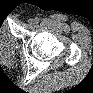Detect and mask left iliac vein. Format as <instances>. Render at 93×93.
<instances>
[{"mask_svg": "<svg viewBox=\"0 0 93 93\" xmlns=\"http://www.w3.org/2000/svg\"><path fill=\"white\" fill-rule=\"evenodd\" d=\"M28 23L31 25V24H34L35 22H34V19H29L28 20Z\"/></svg>", "mask_w": 93, "mask_h": 93, "instance_id": "obj_1", "label": "left iliac vein"}]
</instances>
